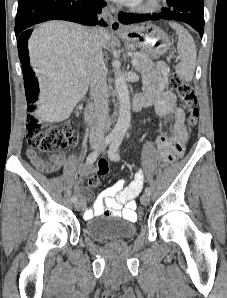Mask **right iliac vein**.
<instances>
[{"mask_svg": "<svg viewBox=\"0 0 227 298\" xmlns=\"http://www.w3.org/2000/svg\"><path fill=\"white\" fill-rule=\"evenodd\" d=\"M93 147L96 148L97 144H94ZM84 207H85V205L82 201H76L74 203V208L76 211H82L84 209Z\"/></svg>", "mask_w": 227, "mask_h": 298, "instance_id": "63e3f726", "label": "right iliac vein"}]
</instances>
